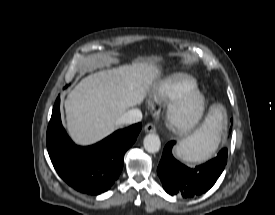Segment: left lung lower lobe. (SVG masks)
Wrapping results in <instances>:
<instances>
[{
  "label": "left lung lower lobe",
  "mask_w": 275,
  "mask_h": 215,
  "mask_svg": "<svg viewBox=\"0 0 275 215\" xmlns=\"http://www.w3.org/2000/svg\"><path fill=\"white\" fill-rule=\"evenodd\" d=\"M174 144L171 141L165 146L157 168L164 190L170 195L183 198H192L207 192L223 172L227 158L217 155L204 164L190 168L172 156Z\"/></svg>",
  "instance_id": "obj_1"
}]
</instances>
